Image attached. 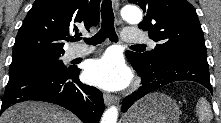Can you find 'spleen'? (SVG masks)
Returning a JSON list of instances; mask_svg holds the SVG:
<instances>
[{"instance_id":"3e777b00","label":"spleen","mask_w":221,"mask_h":123,"mask_svg":"<svg viewBox=\"0 0 221 123\" xmlns=\"http://www.w3.org/2000/svg\"><path fill=\"white\" fill-rule=\"evenodd\" d=\"M199 123H210L212 120V111L208 101L201 97L196 105Z\"/></svg>"}]
</instances>
